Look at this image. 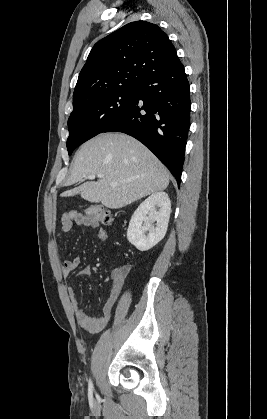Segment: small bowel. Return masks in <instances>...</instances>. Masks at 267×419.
Here are the masks:
<instances>
[{
    "label": "small bowel",
    "instance_id": "1",
    "mask_svg": "<svg viewBox=\"0 0 267 419\" xmlns=\"http://www.w3.org/2000/svg\"><path fill=\"white\" fill-rule=\"evenodd\" d=\"M74 225L84 226L91 229H97V238L101 242H105L108 239V232L104 228H100L99 223L95 220L83 216L78 211H70L64 213L61 217V233H67L71 231ZM79 264V257H74L72 259L65 260L62 266L63 278H67L70 275V273L79 266ZM90 274V266H85L79 272V276H88ZM127 274L128 268L114 270L112 272V285L109 290L108 297L104 303L102 315L98 317L90 316L82 307H80L76 290L74 287H69L67 289L71 306L75 312L76 321L81 327L85 328L90 332H99L108 324L112 315L113 308L123 289Z\"/></svg>",
    "mask_w": 267,
    "mask_h": 419
}]
</instances>
